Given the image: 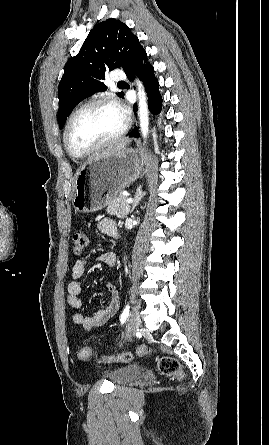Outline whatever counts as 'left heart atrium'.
Returning a JSON list of instances; mask_svg holds the SVG:
<instances>
[{
	"instance_id": "left-heart-atrium-1",
	"label": "left heart atrium",
	"mask_w": 269,
	"mask_h": 445,
	"mask_svg": "<svg viewBox=\"0 0 269 445\" xmlns=\"http://www.w3.org/2000/svg\"><path fill=\"white\" fill-rule=\"evenodd\" d=\"M118 109L121 111V113H122L124 116L127 115V111H126V109H125L124 107L119 106Z\"/></svg>"
}]
</instances>
